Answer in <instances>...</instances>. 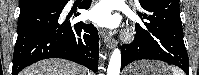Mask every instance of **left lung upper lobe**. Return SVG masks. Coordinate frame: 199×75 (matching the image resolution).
I'll use <instances>...</instances> for the list:
<instances>
[{
  "label": "left lung upper lobe",
  "instance_id": "5c2ea615",
  "mask_svg": "<svg viewBox=\"0 0 199 75\" xmlns=\"http://www.w3.org/2000/svg\"><path fill=\"white\" fill-rule=\"evenodd\" d=\"M144 1H146V0H139V3L144 2Z\"/></svg>",
  "mask_w": 199,
  "mask_h": 75
}]
</instances>
